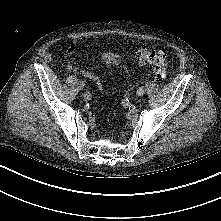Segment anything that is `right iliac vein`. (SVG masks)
<instances>
[{"label":"right iliac vein","instance_id":"1","mask_svg":"<svg viewBox=\"0 0 221 221\" xmlns=\"http://www.w3.org/2000/svg\"><path fill=\"white\" fill-rule=\"evenodd\" d=\"M79 87H80V89L84 88V82L83 81H79Z\"/></svg>","mask_w":221,"mask_h":221}]
</instances>
